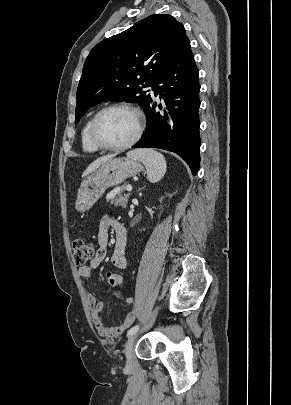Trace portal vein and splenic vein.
<instances>
[{
    "label": "portal vein and splenic vein",
    "instance_id": "obj_1",
    "mask_svg": "<svg viewBox=\"0 0 291 405\" xmlns=\"http://www.w3.org/2000/svg\"><path fill=\"white\" fill-rule=\"evenodd\" d=\"M126 190H127L128 192H131V191H132V186H131L130 184H128V185L126 186Z\"/></svg>",
    "mask_w": 291,
    "mask_h": 405
}]
</instances>
